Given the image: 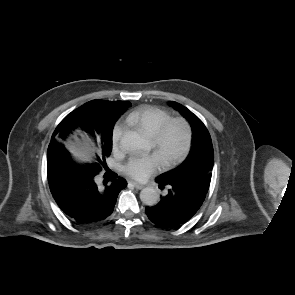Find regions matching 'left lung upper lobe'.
Wrapping results in <instances>:
<instances>
[{
    "label": "left lung upper lobe",
    "instance_id": "5c2ea615",
    "mask_svg": "<svg viewBox=\"0 0 295 295\" xmlns=\"http://www.w3.org/2000/svg\"><path fill=\"white\" fill-rule=\"evenodd\" d=\"M169 104L189 121L192 128V147L187 158L179 166L156 179L163 182L175 181L190 187L206 185L209 189L214 163L210 134L203 122L189 109L174 101Z\"/></svg>",
    "mask_w": 295,
    "mask_h": 295
}]
</instances>
